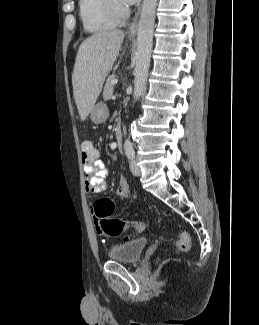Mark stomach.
Returning <instances> with one entry per match:
<instances>
[{"label": "stomach", "mask_w": 259, "mask_h": 325, "mask_svg": "<svg viewBox=\"0 0 259 325\" xmlns=\"http://www.w3.org/2000/svg\"><path fill=\"white\" fill-rule=\"evenodd\" d=\"M108 117V109L106 104L99 102L93 106L90 118L95 124L103 123Z\"/></svg>", "instance_id": "0dacf381"}]
</instances>
